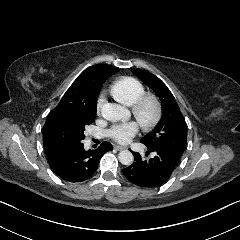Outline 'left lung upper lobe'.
<instances>
[{
	"instance_id": "1",
	"label": "left lung upper lobe",
	"mask_w": 240,
	"mask_h": 240,
	"mask_svg": "<svg viewBox=\"0 0 240 240\" xmlns=\"http://www.w3.org/2000/svg\"><path fill=\"white\" fill-rule=\"evenodd\" d=\"M132 72L158 95L162 103L160 122L140 142L148 148H162L181 157L187 143V129L174 96L168 87L152 73L144 70H132Z\"/></svg>"
}]
</instances>
